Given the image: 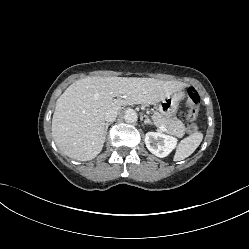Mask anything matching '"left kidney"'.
<instances>
[{
    "label": "left kidney",
    "instance_id": "5707ae66",
    "mask_svg": "<svg viewBox=\"0 0 249 249\" xmlns=\"http://www.w3.org/2000/svg\"><path fill=\"white\" fill-rule=\"evenodd\" d=\"M145 144L152 154L164 158L176 148L177 139L160 132H148L145 135Z\"/></svg>",
    "mask_w": 249,
    "mask_h": 249
}]
</instances>
